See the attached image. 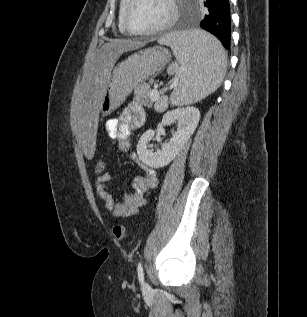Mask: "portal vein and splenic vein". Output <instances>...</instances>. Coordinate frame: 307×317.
Returning <instances> with one entry per match:
<instances>
[{"label": "portal vein and splenic vein", "instance_id": "18ae733b", "mask_svg": "<svg viewBox=\"0 0 307 317\" xmlns=\"http://www.w3.org/2000/svg\"><path fill=\"white\" fill-rule=\"evenodd\" d=\"M176 85H177V81H174L169 87L164 88V90L167 91L168 89H172V88H174ZM150 98H151L153 101H158L159 98H160L159 91H158L157 89H153V90L150 92Z\"/></svg>", "mask_w": 307, "mask_h": 317}]
</instances>
